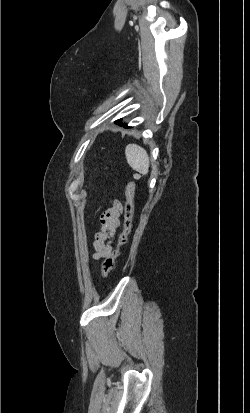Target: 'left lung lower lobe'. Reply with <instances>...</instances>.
<instances>
[{
    "label": "left lung lower lobe",
    "mask_w": 250,
    "mask_h": 413,
    "mask_svg": "<svg viewBox=\"0 0 250 413\" xmlns=\"http://www.w3.org/2000/svg\"><path fill=\"white\" fill-rule=\"evenodd\" d=\"M120 122H121V120H117V121H115V123H116V124H120V125H122ZM124 127H125V128H128V126H126V125H124Z\"/></svg>",
    "instance_id": "obj_1"
}]
</instances>
